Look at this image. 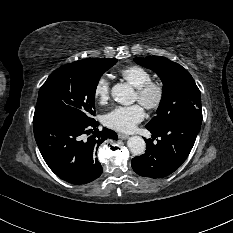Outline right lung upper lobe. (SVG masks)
Listing matches in <instances>:
<instances>
[{
	"instance_id": "1",
	"label": "right lung upper lobe",
	"mask_w": 233,
	"mask_h": 233,
	"mask_svg": "<svg viewBox=\"0 0 233 233\" xmlns=\"http://www.w3.org/2000/svg\"><path fill=\"white\" fill-rule=\"evenodd\" d=\"M93 60H95V59L83 60V61H76V62H74V63L84 64V63H90V62H92Z\"/></svg>"
}]
</instances>
